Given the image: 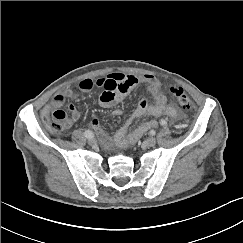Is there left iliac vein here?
Returning <instances> with one entry per match:
<instances>
[{"label": "left iliac vein", "mask_w": 243, "mask_h": 243, "mask_svg": "<svg viewBox=\"0 0 243 243\" xmlns=\"http://www.w3.org/2000/svg\"><path fill=\"white\" fill-rule=\"evenodd\" d=\"M144 144L147 147H154L156 145V139L153 137H149L144 141Z\"/></svg>", "instance_id": "4c4485c4"}]
</instances>
